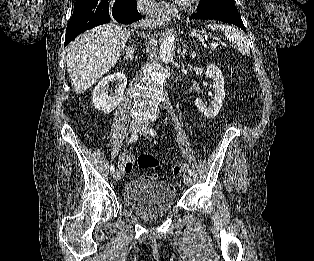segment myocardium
Returning <instances> with one entry per match:
<instances>
[{"mask_svg": "<svg viewBox=\"0 0 314 261\" xmlns=\"http://www.w3.org/2000/svg\"><path fill=\"white\" fill-rule=\"evenodd\" d=\"M177 1L179 2V4L183 6H191L195 4L198 0H177Z\"/></svg>", "mask_w": 314, "mask_h": 261, "instance_id": "myocardium-1", "label": "myocardium"}]
</instances>
